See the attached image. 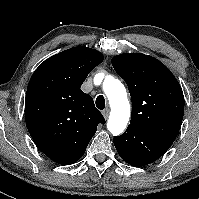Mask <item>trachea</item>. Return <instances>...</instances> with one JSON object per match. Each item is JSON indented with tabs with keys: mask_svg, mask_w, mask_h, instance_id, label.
<instances>
[{
	"mask_svg": "<svg viewBox=\"0 0 199 199\" xmlns=\"http://www.w3.org/2000/svg\"><path fill=\"white\" fill-rule=\"evenodd\" d=\"M96 106L98 109L103 110L105 108V98L102 95H99L96 98Z\"/></svg>",
	"mask_w": 199,
	"mask_h": 199,
	"instance_id": "1",
	"label": "trachea"
}]
</instances>
